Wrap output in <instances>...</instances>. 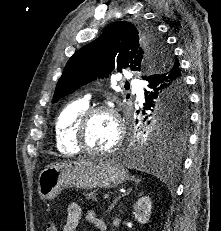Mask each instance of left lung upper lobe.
Here are the masks:
<instances>
[{
	"mask_svg": "<svg viewBox=\"0 0 221 231\" xmlns=\"http://www.w3.org/2000/svg\"><path fill=\"white\" fill-rule=\"evenodd\" d=\"M169 56L170 52L166 49L164 39L152 25L135 26L127 21L115 22L100 37L78 50L69 59L57 83L53 102L97 77L103 78L114 67L119 72L126 68L150 71L155 65L158 66V71H161L166 64L172 65ZM171 96L177 102L166 109L159 97L145 102L143 109L149 110V124L152 123L154 128L147 137L161 136L171 142L185 141L188 96L185 89L180 88L173 90L169 99Z\"/></svg>",
	"mask_w": 221,
	"mask_h": 231,
	"instance_id": "1",
	"label": "left lung upper lobe"
}]
</instances>
